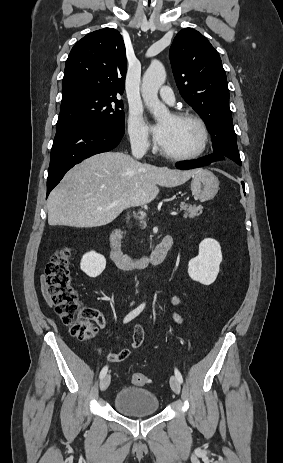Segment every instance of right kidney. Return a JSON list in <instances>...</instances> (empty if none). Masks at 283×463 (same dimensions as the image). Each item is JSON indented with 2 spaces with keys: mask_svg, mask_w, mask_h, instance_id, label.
<instances>
[{
  "mask_svg": "<svg viewBox=\"0 0 283 463\" xmlns=\"http://www.w3.org/2000/svg\"><path fill=\"white\" fill-rule=\"evenodd\" d=\"M81 270L89 277L99 276L106 267V259L103 255L90 251L83 255L80 263Z\"/></svg>",
  "mask_w": 283,
  "mask_h": 463,
  "instance_id": "1",
  "label": "right kidney"
}]
</instances>
